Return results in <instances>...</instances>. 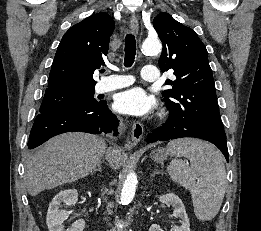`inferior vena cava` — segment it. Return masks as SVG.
I'll return each instance as SVG.
<instances>
[{
  "label": "inferior vena cava",
  "instance_id": "1",
  "mask_svg": "<svg viewBox=\"0 0 261 231\" xmlns=\"http://www.w3.org/2000/svg\"><path fill=\"white\" fill-rule=\"evenodd\" d=\"M106 155L108 156V155H109V153L107 152V153H106Z\"/></svg>",
  "mask_w": 261,
  "mask_h": 231
}]
</instances>
